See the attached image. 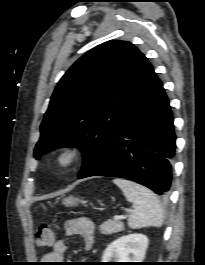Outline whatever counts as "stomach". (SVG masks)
<instances>
[{"instance_id": "0dacf381", "label": "stomach", "mask_w": 205, "mask_h": 265, "mask_svg": "<svg viewBox=\"0 0 205 265\" xmlns=\"http://www.w3.org/2000/svg\"><path fill=\"white\" fill-rule=\"evenodd\" d=\"M76 202H77V199L74 198L73 196H69L63 199V204L66 206H74L76 205Z\"/></svg>"}]
</instances>
